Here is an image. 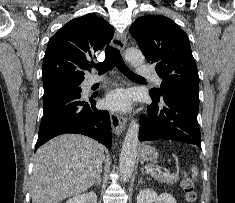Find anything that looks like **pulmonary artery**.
<instances>
[{
  "label": "pulmonary artery",
  "instance_id": "obj_1",
  "mask_svg": "<svg viewBox=\"0 0 235 203\" xmlns=\"http://www.w3.org/2000/svg\"><path fill=\"white\" fill-rule=\"evenodd\" d=\"M138 72L141 75H145V76L152 78V80L155 82V84H157V85L161 84V79L158 77V75L153 70H151L145 66H140L138 68ZM101 80H102V78L95 76V75H92L86 80V85L91 86Z\"/></svg>",
  "mask_w": 235,
  "mask_h": 203
}]
</instances>
